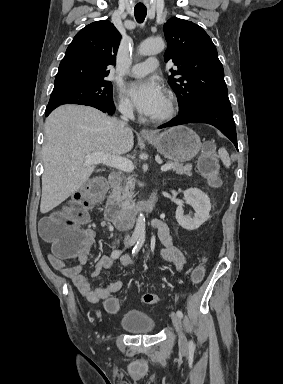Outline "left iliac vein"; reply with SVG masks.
<instances>
[{"label":"left iliac vein","instance_id":"1","mask_svg":"<svg viewBox=\"0 0 283 384\" xmlns=\"http://www.w3.org/2000/svg\"><path fill=\"white\" fill-rule=\"evenodd\" d=\"M171 319H172V323L178 333V344H179V348L182 350V351H187L188 349V341H187V338L183 332V328H182V322H181V319L180 317L172 312L171 313Z\"/></svg>","mask_w":283,"mask_h":384}]
</instances>
